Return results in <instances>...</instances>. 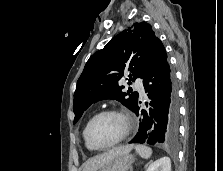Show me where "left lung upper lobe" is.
<instances>
[{"mask_svg":"<svg viewBox=\"0 0 223 171\" xmlns=\"http://www.w3.org/2000/svg\"><path fill=\"white\" fill-rule=\"evenodd\" d=\"M158 41L150 24L135 23L93 54L77 81L73 101L74 124L98 100L115 99L134 111L138 93L123 92L124 87H120L118 82L124 78L125 68L130 72L127 80L143 77Z\"/></svg>","mask_w":223,"mask_h":171,"instance_id":"left-lung-upper-lobe-1","label":"left lung upper lobe"}]
</instances>
